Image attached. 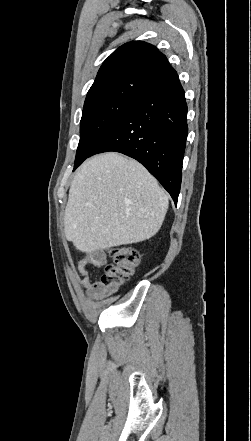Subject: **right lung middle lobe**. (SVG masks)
Here are the masks:
<instances>
[{
    "instance_id": "obj_1",
    "label": "right lung middle lobe",
    "mask_w": 251,
    "mask_h": 441,
    "mask_svg": "<svg viewBox=\"0 0 251 441\" xmlns=\"http://www.w3.org/2000/svg\"><path fill=\"white\" fill-rule=\"evenodd\" d=\"M139 99L140 97H114L84 106L74 170L89 157L97 143Z\"/></svg>"
}]
</instances>
